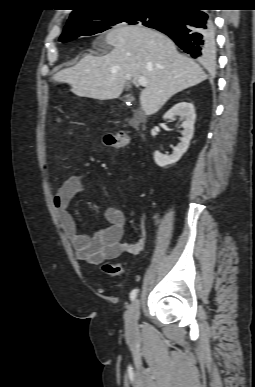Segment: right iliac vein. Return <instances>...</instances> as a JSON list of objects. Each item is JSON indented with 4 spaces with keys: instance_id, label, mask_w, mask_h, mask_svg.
<instances>
[{
    "instance_id": "right-iliac-vein-1",
    "label": "right iliac vein",
    "mask_w": 255,
    "mask_h": 387,
    "mask_svg": "<svg viewBox=\"0 0 255 387\" xmlns=\"http://www.w3.org/2000/svg\"><path fill=\"white\" fill-rule=\"evenodd\" d=\"M140 314V301L134 299L125 313V328L129 337H133L138 331V319Z\"/></svg>"
}]
</instances>
